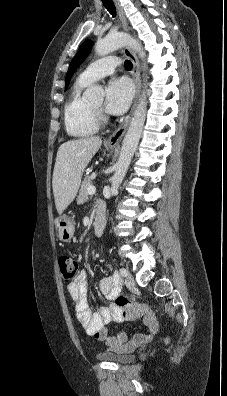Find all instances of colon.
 I'll use <instances>...</instances> for the list:
<instances>
[{"label":"colon","instance_id":"colon-1","mask_svg":"<svg viewBox=\"0 0 227 396\" xmlns=\"http://www.w3.org/2000/svg\"><path fill=\"white\" fill-rule=\"evenodd\" d=\"M78 264L77 262L69 257V256H62L59 259V268L63 278V281L67 284L72 283L75 278L76 271H77ZM129 303V300L125 297L118 299L117 304L120 306H124ZM168 341V339H166Z\"/></svg>","mask_w":227,"mask_h":396}]
</instances>
